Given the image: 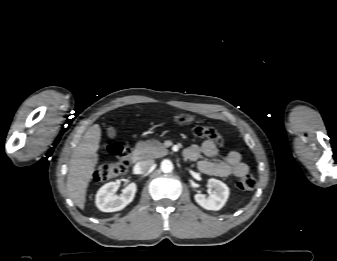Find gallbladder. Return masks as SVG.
Returning <instances> with one entry per match:
<instances>
[{"instance_id":"gallbladder-1","label":"gallbladder","mask_w":337,"mask_h":261,"mask_svg":"<svg viewBox=\"0 0 337 261\" xmlns=\"http://www.w3.org/2000/svg\"><path fill=\"white\" fill-rule=\"evenodd\" d=\"M117 135L116 129L112 126L107 127V136L111 139L115 138Z\"/></svg>"}]
</instances>
